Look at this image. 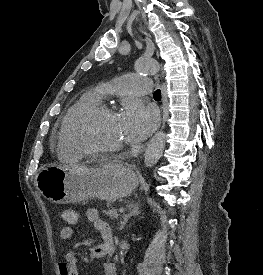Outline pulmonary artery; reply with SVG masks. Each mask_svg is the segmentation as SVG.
Returning a JSON list of instances; mask_svg holds the SVG:
<instances>
[{
    "instance_id": "e3ab8cb5",
    "label": "pulmonary artery",
    "mask_w": 263,
    "mask_h": 275,
    "mask_svg": "<svg viewBox=\"0 0 263 275\" xmlns=\"http://www.w3.org/2000/svg\"><path fill=\"white\" fill-rule=\"evenodd\" d=\"M151 87L152 82L150 79L134 74H127L104 86L101 92L103 94L140 96L149 94Z\"/></svg>"
}]
</instances>
